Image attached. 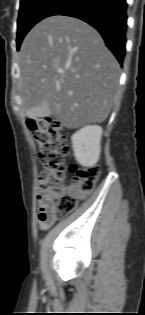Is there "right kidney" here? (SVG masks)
<instances>
[{
  "mask_svg": "<svg viewBox=\"0 0 145 315\" xmlns=\"http://www.w3.org/2000/svg\"><path fill=\"white\" fill-rule=\"evenodd\" d=\"M102 128L89 125L72 135V145L76 160L85 167L95 165L100 156Z\"/></svg>",
  "mask_w": 145,
  "mask_h": 315,
  "instance_id": "ca27d5eb",
  "label": "right kidney"
}]
</instances>
